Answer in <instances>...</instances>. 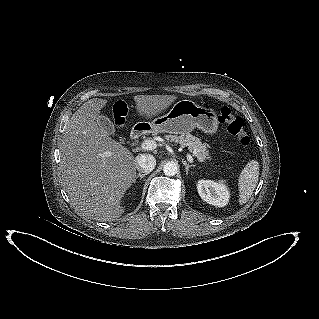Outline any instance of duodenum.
Returning <instances> with one entry per match:
<instances>
[{"instance_id": "410a0bca", "label": "duodenum", "mask_w": 319, "mask_h": 319, "mask_svg": "<svg viewBox=\"0 0 319 319\" xmlns=\"http://www.w3.org/2000/svg\"><path fill=\"white\" fill-rule=\"evenodd\" d=\"M150 129H151L150 126L146 123L138 124L133 128L130 134V137L132 140H135L139 138L141 135H143L144 133H146L147 131H149Z\"/></svg>"}]
</instances>
